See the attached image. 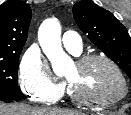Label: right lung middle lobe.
Segmentation results:
<instances>
[{"label": "right lung middle lobe", "instance_id": "1", "mask_svg": "<svg viewBox=\"0 0 131 115\" xmlns=\"http://www.w3.org/2000/svg\"><path fill=\"white\" fill-rule=\"evenodd\" d=\"M20 53H9L0 56V100L21 98V90L17 84Z\"/></svg>", "mask_w": 131, "mask_h": 115}]
</instances>
